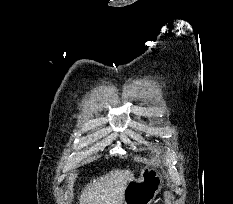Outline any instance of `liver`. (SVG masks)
<instances>
[{
  "label": "liver",
  "instance_id": "liver-1",
  "mask_svg": "<svg viewBox=\"0 0 233 204\" xmlns=\"http://www.w3.org/2000/svg\"><path fill=\"white\" fill-rule=\"evenodd\" d=\"M134 179L129 169H115L94 179L83 189L80 204H122L127 183Z\"/></svg>",
  "mask_w": 233,
  "mask_h": 204
}]
</instances>
